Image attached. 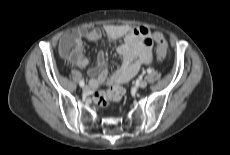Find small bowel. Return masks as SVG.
Segmentation results:
<instances>
[{
	"mask_svg": "<svg viewBox=\"0 0 230 155\" xmlns=\"http://www.w3.org/2000/svg\"><path fill=\"white\" fill-rule=\"evenodd\" d=\"M107 38L111 41L122 40L117 51L122 56L121 66L109 76L108 64L104 52L97 56L96 63L88 70L92 77L89 84L92 90H97L102 85L117 86L126 83L133 78L142 66L149 64L153 58V42L156 41V34L143 26H127L121 24L107 25L104 27ZM70 33L75 34L78 41L77 53L70 59L78 67L87 65L88 60L82 54L83 40L96 43L102 37L98 28L76 29ZM67 36V35H66Z\"/></svg>",
	"mask_w": 230,
	"mask_h": 155,
	"instance_id": "obj_1",
	"label": "small bowel"
}]
</instances>
